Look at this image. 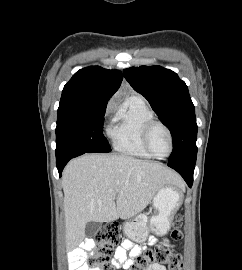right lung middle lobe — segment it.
<instances>
[{
	"label": "right lung middle lobe",
	"mask_w": 242,
	"mask_h": 270,
	"mask_svg": "<svg viewBox=\"0 0 242 270\" xmlns=\"http://www.w3.org/2000/svg\"><path fill=\"white\" fill-rule=\"evenodd\" d=\"M106 106L92 109L58 108L56 161L84 153L110 152L103 135Z\"/></svg>",
	"instance_id": "dd1d6c3e"
}]
</instances>
